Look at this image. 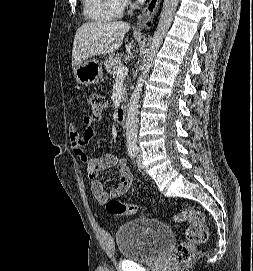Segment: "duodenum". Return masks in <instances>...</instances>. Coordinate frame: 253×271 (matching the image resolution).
I'll return each mask as SVG.
<instances>
[{
  "instance_id": "1",
  "label": "duodenum",
  "mask_w": 253,
  "mask_h": 271,
  "mask_svg": "<svg viewBox=\"0 0 253 271\" xmlns=\"http://www.w3.org/2000/svg\"><path fill=\"white\" fill-rule=\"evenodd\" d=\"M126 119V108L125 106H120L116 110V120L118 123H123Z\"/></svg>"
}]
</instances>
